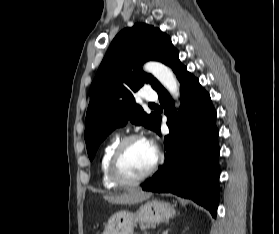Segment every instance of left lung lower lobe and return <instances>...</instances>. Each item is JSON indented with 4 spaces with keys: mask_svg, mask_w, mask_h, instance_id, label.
<instances>
[{
    "mask_svg": "<svg viewBox=\"0 0 279 234\" xmlns=\"http://www.w3.org/2000/svg\"><path fill=\"white\" fill-rule=\"evenodd\" d=\"M167 65L180 82L182 104L180 112H176L171 97L163 86L159 84L155 89L165 108L169 135L164 138V165L141 186L145 191L173 193L192 199L215 217L219 202L220 174L216 111L210 95L181 64L178 51ZM160 124L161 117L155 130L159 135Z\"/></svg>",
    "mask_w": 279,
    "mask_h": 234,
    "instance_id": "obj_1",
    "label": "left lung lower lobe"
}]
</instances>
